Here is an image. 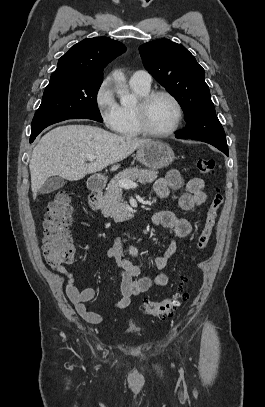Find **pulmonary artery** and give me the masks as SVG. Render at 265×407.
<instances>
[{
  "mask_svg": "<svg viewBox=\"0 0 265 407\" xmlns=\"http://www.w3.org/2000/svg\"><path fill=\"white\" fill-rule=\"evenodd\" d=\"M152 82L151 75L144 70L135 71L130 78V83L142 87H150Z\"/></svg>",
  "mask_w": 265,
  "mask_h": 407,
  "instance_id": "e3ab8cb5",
  "label": "pulmonary artery"
}]
</instances>
